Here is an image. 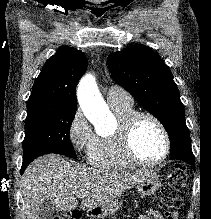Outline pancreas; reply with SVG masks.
<instances>
[{"instance_id":"obj_1","label":"pancreas","mask_w":211,"mask_h":219,"mask_svg":"<svg viewBox=\"0 0 211 219\" xmlns=\"http://www.w3.org/2000/svg\"><path fill=\"white\" fill-rule=\"evenodd\" d=\"M112 219H116V215H114V216L112 217Z\"/></svg>"}]
</instances>
